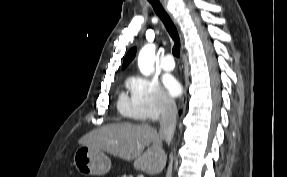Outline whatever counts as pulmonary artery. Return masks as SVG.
<instances>
[{"label":"pulmonary artery","instance_id":"pulmonary-artery-1","mask_svg":"<svg viewBox=\"0 0 287 177\" xmlns=\"http://www.w3.org/2000/svg\"><path fill=\"white\" fill-rule=\"evenodd\" d=\"M162 68L165 71H172L174 69V58L172 54L170 53L165 54L162 61Z\"/></svg>","mask_w":287,"mask_h":177}]
</instances>
